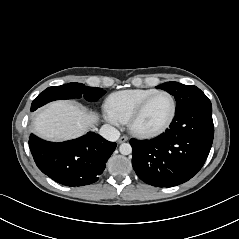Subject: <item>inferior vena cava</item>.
<instances>
[{
  "label": "inferior vena cava",
  "mask_w": 239,
  "mask_h": 239,
  "mask_svg": "<svg viewBox=\"0 0 239 239\" xmlns=\"http://www.w3.org/2000/svg\"><path fill=\"white\" fill-rule=\"evenodd\" d=\"M100 135L108 141H116L120 137V132L113 126L105 124L100 129Z\"/></svg>",
  "instance_id": "obj_1"
}]
</instances>
